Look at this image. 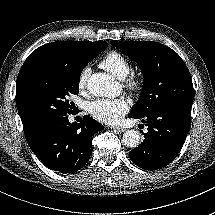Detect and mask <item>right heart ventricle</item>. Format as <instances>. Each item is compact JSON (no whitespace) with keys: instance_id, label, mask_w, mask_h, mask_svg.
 <instances>
[{"instance_id":"1","label":"right heart ventricle","mask_w":215,"mask_h":215,"mask_svg":"<svg viewBox=\"0 0 215 215\" xmlns=\"http://www.w3.org/2000/svg\"><path fill=\"white\" fill-rule=\"evenodd\" d=\"M100 66L119 79H123L131 69L128 59L117 51L106 53L100 61Z\"/></svg>"}]
</instances>
